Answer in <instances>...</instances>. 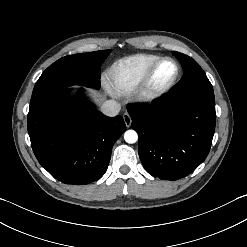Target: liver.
<instances>
[{"instance_id": "obj_1", "label": "liver", "mask_w": 247, "mask_h": 247, "mask_svg": "<svg viewBox=\"0 0 247 247\" xmlns=\"http://www.w3.org/2000/svg\"><path fill=\"white\" fill-rule=\"evenodd\" d=\"M87 90H89L95 97H97V98L101 97V95L98 92H96L95 90H91V89H87Z\"/></svg>"}]
</instances>
